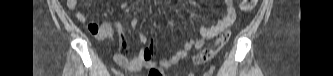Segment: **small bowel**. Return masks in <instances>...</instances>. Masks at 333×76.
<instances>
[{
    "instance_id": "small-bowel-1",
    "label": "small bowel",
    "mask_w": 333,
    "mask_h": 76,
    "mask_svg": "<svg viewBox=\"0 0 333 76\" xmlns=\"http://www.w3.org/2000/svg\"><path fill=\"white\" fill-rule=\"evenodd\" d=\"M67 7L74 11L78 7L77 0H67ZM76 19L81 23L87 22V17L82 11H76ZM236 13L232 0H225V13L223 17L211 27L199 25L200 38L187 40L182 48L175 51L171 56L159 60L153 59V44L148 37L140 34L138 39L144 44L138 55L134 58L127 57V44L121 26L116 21H106L98 23L91 21L88 23V30L98 39H105L116 33L119 37V51L114 55L115 62L122 68L129 71H139L143 68L148 69L146 76H164L163 69L170 68L172 65L183 60L192 49H201L206 42L217 37L221 32L228 29L235 21ZM137 20L131 21V27H137Z\"/></svg>"
}]
</instances>
